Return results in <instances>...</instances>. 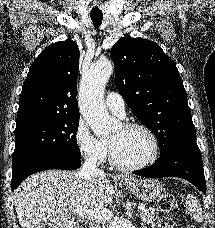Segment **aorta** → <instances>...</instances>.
<instances>
[{
    "instance_id": "1",
    "label": "aorta",
    "mask_w": 215,
    "mask_h": 228,
    "mask_svg": "<svg viewBox=\"0 0 215 228\" xmlns=\"http://www.w3.org/2000/svg\"><path fill=\"white\" fill-rule=\"evenodd\" d=\"M113 70V62L98 60L91 66L89 76L81 82L80 112L96 136H107L112 130V120L103 104L101 94Z\"/></svg>"
}]
</instances>
